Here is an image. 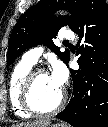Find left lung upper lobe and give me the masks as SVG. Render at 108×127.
Here are the masks:
<instances>
[{
    "label": "left lung upper lobe",
    "instance_id": "left-lung-upper-lobe-1",
    "mask_svg": "<svg viewBox=\"0 0 108 127\" xmlns=\"http://www.w3.org/2000/svg\"><path fill=\"white\" fill-rule=\"evenodd\" d=\"M84 0H41L19 18L10 39L7 62L8 65L26 49L43 44L57 54L65 64L69 61V52H60L54 45L58 30L68 25L72 30L76 25L81 5ZM58 9H67L70 16H52V12Z\"/></svg>",
    "mask_w": 108,
    "mask_h": 127
}]
</instances>
